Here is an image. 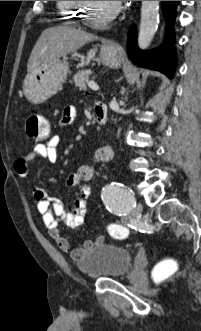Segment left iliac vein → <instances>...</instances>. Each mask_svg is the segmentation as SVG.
Instances as JSON below:
<instances>
[{
	"label": "left iliac vein",
	"mask_w": 201,
	"mask_h": 331,
	"mask_svg": "<svg viewBox=\"0 0 201 331\" xmlns=\"http://www.w3.org/2000/svg\"><path fill=\"white\" fill-rule=\"evenodd\" d=\"M142 211H143V206L142 204L138 203L133 210V214L135 217H141Z\"/></svg>",
	"instance_id": "left-iliac-vein-1"
}]
</instances>
